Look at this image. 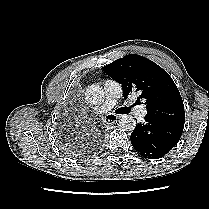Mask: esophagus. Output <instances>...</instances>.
<instances>
[{"instance_id":"34e87169","label":"esophagus","mask_w":209,"mask_h":209,"mask_svg":"<svg viewBox=\"0 0 209 209\" xmlns=\"http://www.w3.org/2000/svg\"><path fill=\"white\" fill-rule=\"evenodd\" d=\"M107 117L109 118L107 119L108 123H115L119 119V116L114 114H109Z\"/></svg>"}]
</instances>
